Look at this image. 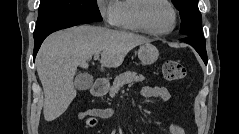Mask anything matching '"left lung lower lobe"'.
Returning a JSON list of instances; mask_svg holds the SVG:
<instances>
[{
    "mask_svg": "<svg viewBox=\"0 0 239 134\" xmlns=\"http://www.w3.org/2000/svg\"><path fill=\"white\" fill-rule=\"evenodd\" d=\"M181 41L190 44L201 56L204 63L207 64V54L204 38L187 37Z\"/></svg>",
    "mask_w": 239,
    "mask_h": 134,
    "instance_id": "1",
    "label": "left lung lower lobe"
}]
</instances>
